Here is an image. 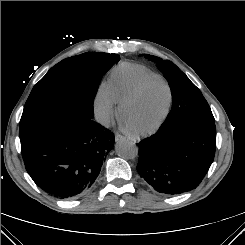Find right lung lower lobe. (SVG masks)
I'll list each match as a JSON object with an SVG mask.
<instances>
[{
	"mask_svg": "<svg viewBox=\"0 0 245 245\" xmlns=\"http://www.w3.org/2000/svg\"><path fill=\"white\" fill-rule=\"evenodd\" d=\"M86 63L93 64L92 60ZM114 145L110 130L92 119L63 121L21 142L28 174L50 195L72 199L95 182Z\"/></svg>",
	"mask_w": 245,
	"mask_h": 245,
	"instance_id": "obj_1",
	"label": "right lung lower lobe"
}]
</instances>
